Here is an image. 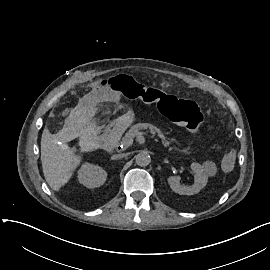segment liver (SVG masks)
Instances as JSON below:
<instances>
[{
  "label": "liver",
  "mask_w": 270,
  "mask_h": 270,
  "mask_svg": "<svg viewBox=\"0 0 270 270\" xmlns=\"http://www.w3.org/2000/svg\"><path fill=\"white\" fill-rule=\"evenodd\" d=\"M88 150V145L80 143V152ZM82 161L83 158L68 145L59 144L48 129H44L41 137V163L44 178L52 191L59 192L73 177Z\"/></svg>",
  "instance_id": "obj_1"
}]
</instances>
